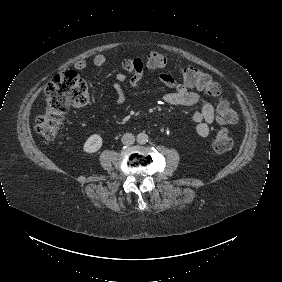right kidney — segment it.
<instances>
[{
  "mask_svg": "<svg viewBox=\"0 0 282 282\" xmlns=\"http://www.w3.org/2000/svg\"><path fill=\"white\" fill-rule=\"evenodd\" d=\"M102 146V137L98 134L91 135L84 143L83 150L86 153H95Z\"/></svg>",
  "mask_w": 282,
  "mask_h": 282,
  "instance_id": "obj_1",
  "label": "right kidney"
}]
</instances>
